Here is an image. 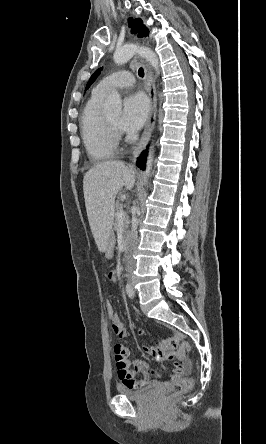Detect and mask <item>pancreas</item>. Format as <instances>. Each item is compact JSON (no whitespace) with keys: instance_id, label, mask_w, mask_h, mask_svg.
<instances>
[{"instance_id":"cf45deb5","label":"pancreas","mask_w":266,"mask_h":444,"mask_svg":"<svg viewBox=\"0 0 266 444\" xmlns=\"http://www.w3.org/2000/svg\"><path fill=\"white\" fill-rule=\"evenodd\" d=\"M120 210H122V205H121V204H117V205H116V212H115V223H114V228H115V230H117V229L119 228V225H120L119 220H118V217H117V214H118V212H119ZM128 224H129V219H128V217L125 215L124 218L122 219V222H121V228H122L124 234L127 233L126 230H127V228H128Z\"/></svg>"}]
</instances>
